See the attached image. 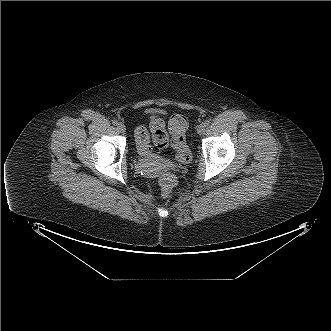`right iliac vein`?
Returning a JSON list of instances; mask_svg holds the SVG:
<instances>
[{
    "label": "right iliac vein",
    "mask_w": 331,
    "mask_h": 331,
    "mask_svg": "<svg viewBox=\"0 0 331 331\" xmlns=\"http://www.w3.org/2000/svg\"><path fill=\"white\" fill-rule=\"evenodd\" d=\"M117 130L120 133H124L126 131V126L123 123L120 122V123L117 124Z\"/></svg>",
    "instance_id": "obj_1"
}]
</instances>
